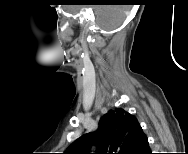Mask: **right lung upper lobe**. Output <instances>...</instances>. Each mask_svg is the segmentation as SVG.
<instances>
[{
	"instance_id": "1",
	"label": "right lung upper lobe",
	"mask_w": 188,
	"mask_h": 154,
	"mask_svg": "<svg viewBox=\"0 0 188 154\" xmlns=\"http://www.w3.org/2000/svg\"><path fill=\"white\" fill-rule=\"evenodd\" d=\"M95 145L97 153H91ZM149 144L138 120L122 108L109 110L99 121L96 133L75 140L65 154H145Z\"/></svg>"
}]
</instances>
